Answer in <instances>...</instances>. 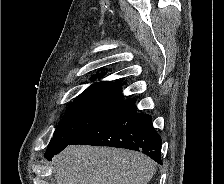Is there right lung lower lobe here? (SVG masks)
Instances as JSON below:
<instances>
[{"instance_id":"right-lung-lower-lobe-1","label":"right lung lower lobe","mask_w":224,"mask_h":184,"mask_svg":"<svg viewBox=\"0 0 224 184\" xmlns=\"http://www.w3.org/2000/svg\"><path fill=\"white\" fill-rule=\"evenodd\" d=\"M135 102V98L122 100L105 117L69 142L47 149L45 158L51 160L67 145L85 144L140 151L161 164V137L153 128L151 116L136 112Z\"/></svg>"}]
</instances>
